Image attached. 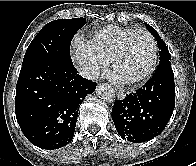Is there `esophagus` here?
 Here are the masks:
<instances>
[{"mask_svg":"<svg viewBox=\"0 0 196 166\" xmlns=\"http://www.w3.org/2000/svg\"><path fill=\"white\" fill-rule=\"evenodd\" d=\"M116 94H117L118 99L120 100L124 99L126 96L124 91H116Z\"/></svg>","mask_w":196,"mask_h":166,"instance_id":"esophagus-1","label":"esophagus"}]
</instances>
